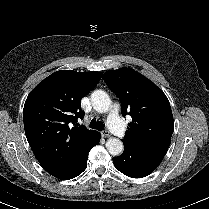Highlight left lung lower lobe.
<instances>
[{
  "label": "left lung lower lobe",
  "mask_w": 209,
  "mask_h": 209,
  "mask_svg": "<svg viewBox=\"0 0 209 209\" xmlns=\"http://www.w3.org/2000/svg\"><path fill=\"white\" fill-rule=\"evenodd\" d=\"M164 155L132 148L124 144V152L113 158L115 167L132 178H142L153 172L161 163Z\"/></svg>",
  "instance_id": "0a47b994"
}]
</instances>
